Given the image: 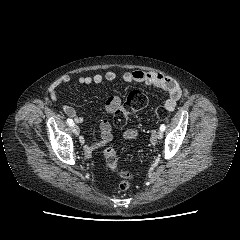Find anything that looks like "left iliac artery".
Returning a JSON list of instances; mask_svg holds the SVG:
<instances>
[{
	"label": "left iliac artery",
	"instance_id": "left-iliac-artery-1",
	"mask_svg": "<svg viewBox=\"0 0 240 240\" xmlns=\"http://www.w3.org/2000/svg\"><path fill=\"white\" fill-rule=\"evenodd\" d=\"M165 129H166V126H165L164 124H162V125L160 126V130L163 132V131H165Z\"/></svg>",
	"mask_w": 240,
	"mask_h": 240
}]
</instances>
